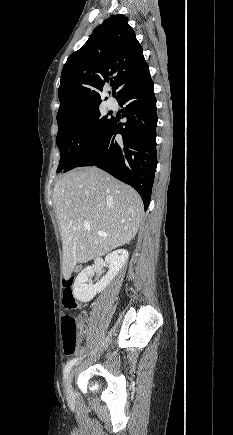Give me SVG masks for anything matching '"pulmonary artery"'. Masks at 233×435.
I'll list each match as a JSON object with an SVG mask.
<instances>
[{"label":"pulmonary artery","mask_w":233,"mask_h":435,"mask_svg":"<svg viewBox=\"0 0 233 435\" xmlns=\"http://www.w3.org/2000/svg\"><path fill=\"white\" fill-rule=\"evenodd\" d=\"M115 106H116V101H115V99L112 98V97H109L108 100H107V107H108L109 109H113V108H115Z\"/></svg>","instance_id":"e3ab8cb5"}]
</instances>
